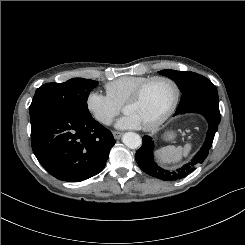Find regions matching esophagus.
<instances>
[{"label": "esophagus", "instance_id": "esophagus-1", "mask_svg": "<svg viewBox=\"0 0 245 245\" xmlns=\"http://www.w3.org/2000/svg\"><path fill=\"white\" fill-rule=\"evenodd\" d=\"M113 136L115 139H120L121 136H122V133L121 132H118V131H113Z\"/></svg>", "mask_w": 245, "mask_h": 245}]
</instances>
